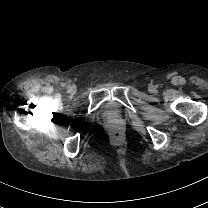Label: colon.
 <instances>
[{
    "mask_svg": "<svg viewBox=\"0 0 208 208\" xmlns=\"http://www.w3.org/2000/svg\"><path fill=\"white\" fill-rule=\"evenodd\" d=\"M114 137H115V138H118V137H119V134H118V133H115V134H114Z\"/></svg>",
    "mask_w": 208,
    "mask_h": 208,
    "instance_id": "obj_1",
    "label": "colon"
}]
</instances>
